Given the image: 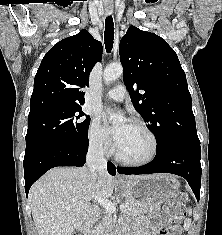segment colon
<instances>
[{"mask_svg":"<svg viewBox=\"0 0 222 235\" xmlns=\"http://www.w3.org/2000/svg\"><path fill=\"white\" fill-rule=\"evenodd\" d=\"M186 215V203L182 195H176L168 200L163 206V217L166 223L170 224ZM163 235H176L171 232L162 231Z\"/></svg>","mask_w":222,"mask_h":235,"instance_id":"obj_1","label":"colon"}]
</instances>
